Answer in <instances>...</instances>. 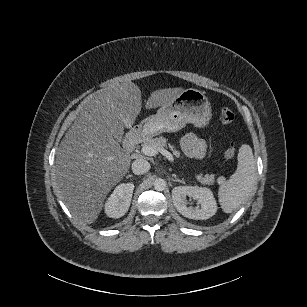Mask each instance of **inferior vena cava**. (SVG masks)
<instances>
[{
	"label": "inferior vena cava",
	"mask_w": 307,
	"mask_h": 307,
	"mask_svg": "<svg viewBox=\"0 0 307 307\" xmlns=\"http://www.w3.org/2000/svg\"><path fill=\"white\" fill-rule=\"evenodd\" d=\"M150 170V164L144 159H137L132 163V171L135 175H141Z\"/></svg>",
	"instance_id": "obj_1"
}]
</instances>
